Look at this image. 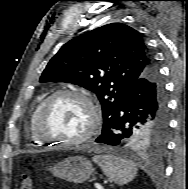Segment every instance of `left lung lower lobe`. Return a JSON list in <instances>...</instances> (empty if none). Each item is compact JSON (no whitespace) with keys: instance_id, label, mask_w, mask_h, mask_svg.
<instances>
[{"instance_id":"obj_1","label":"left lung lower lobe","mask_w":188,"mask_h":189,"mask_svg":"<svg viewBox=\"0 0 188 189\" xmlns=\"http://www.w3.org/2000/svg\"><path fill=\"white\" fill-rule=\"evenodd\" d=\"M167 124L165 87L154 63L129 86L124 101L113 115L108 129L95 142L113 146L125 145L135 133L146 127L167 128Z\"/></svg>"}]
</instances>
